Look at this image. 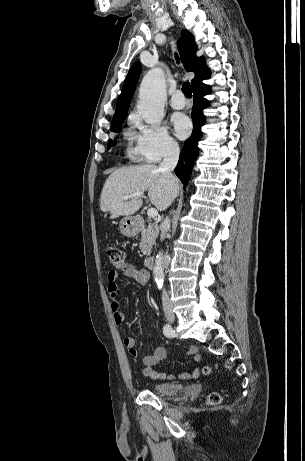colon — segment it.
I'll return each mask as SVG.
<instances>
[{"label": "colon", "instance_id": "1", "mask_svg": "<svg viewBox=\"0 0 305 461\" xmlns=\"http://www.w3.org/2000/svg\"><path fill=\"white\" fill-rule=\"evenodd\" d=\"M108 260L116 272H122L127 268L126 253L115 243H109L106 247ZM214 369L209 366H204L201 373L205 376L211 375ZM221 402V396L218 393H211L207 398L208 405H217Z\"/></svg>", "mask_w": 305, "mask_h": 461}]
</instances>
